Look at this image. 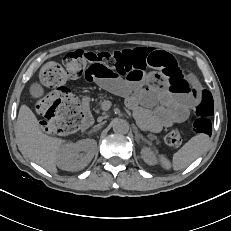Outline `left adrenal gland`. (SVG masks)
<instances>
[{
	"mask_svg": "<svg viewBox=\"0 0 231 231\" xmlns=\"http://www.w3.org/2000/svg\"><path fill=\"white\" fill-rule=\"evenodd\" d=\"M134 133H135V140L137 142H139V140L141 139V140L149 143L148 140L142 134L139 133V131H138V129L136 127H135V130H134Z\"/></svg>",
	"mask_w": 231,
	"mask_h": 231,
	"instance_id": "left-adrenal-gland-1",
	"label": "left adrenal gland"
}]
</instances>
